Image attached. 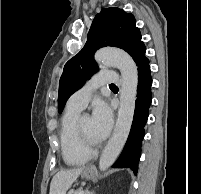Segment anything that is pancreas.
<instances>
[{"label": "pancreas", "mask_w": 201, "mask_h": 194, "mask_svg": "<svg viewBox=\"0 0 201 194\" xmlns=\"http://www.w3.org/2000/svg\"><path fill=\"white\" fill-rule=\"evenodd\" d=\"M80 191H81V190L75 191V192H73L72 194H80ZM84 194H85V193H84Z\"/></svg>", "instance_id": "obj_1"}]
</instances>
